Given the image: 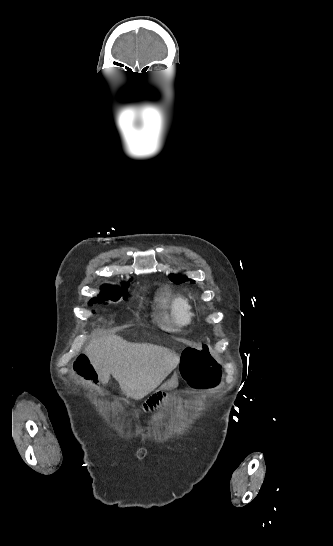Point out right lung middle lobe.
Wrapping results in <instances>:
<instances>
[{"label": "right lung middle lobe", "mask_w": 333, "mask_h": 546, "mask_svg": "<svg viewBox=\"0 0 333 546\" xmlns=\"http://www.w3.org/2000/svg\"><path fill=\"white\" fill-rule=\"evenodd\" d=\"M129 284L124 283L122 285V288H118L116 286H110V285H103L101 287L102 292L98 295V297L93 298L90 300L89 304H93L95 302L102 303L106 300H112L117 301L121 297L126 300L127 299V288Z\"/></svg>", "instance_id": "dd1d6c3e"}]
</instances>
